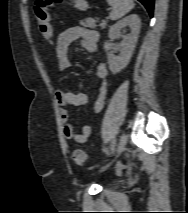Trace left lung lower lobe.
Here are the masks:
<instances>
[{
    "mask_svg": "<svg viewBox=\"0 0 188 213\" xmlns=\"http://www.w3.org/2000/svg\"><path fill=\"white\" fill-rule=\"evenodd\" d=\"M140 1L145 8L148 10L150 16L153 15V7H154V0H138Z\"/></svg>",
    "mask_w": 188,
    "mask_h": 213,
    "instance_id": "0a47b994",
    "label": "left lung lower lobe"
}]
</instances>
